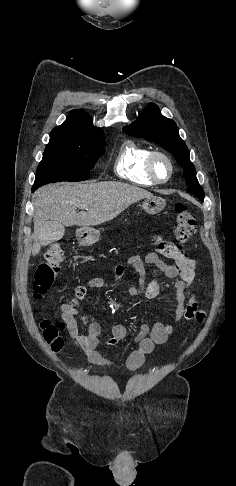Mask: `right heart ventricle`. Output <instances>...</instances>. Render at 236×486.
I'll return each instance as SVG.
<instances>
[{
  "label": "right heart ventricle",
  "mask_w": 236,
  "mask_h": 486,
  "mask_svg": "<svg viewBox=\"0 0 236 486\" xmlns=\"http://www.w3.org/2000/svg\"><path fill=\"white\" fill-rule=\"evenodd\" d=\"M151 149L134 141L125 142L119 149L115 161L117 175L131 183L140 186H152L153 183L147 176L145 163Z\"/></svg>",
  "instance_id": "right-heart-ventricle-1"
}]
</instances>
